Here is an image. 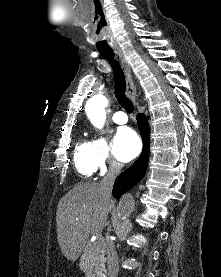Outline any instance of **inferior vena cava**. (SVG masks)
I'll return each mask as SVG.
<instances>
[{
  "label": "inferior vena cava",
  "mask_w": 221,
  "mask_h": 277,
  "mask_svg": "<svg viewBox=\"0 0 221 277\" xmlns=\"http://www.w3.org/2000/svg\"><path fill=\"white\" fill-rule=\"evenodd\" d=\"M122 168V164L118 162H111L109 165V169L107 174L100 182V187L103 191V194L107 197H111L112 188L114 185V181L119 175ZM106 258H107V270H108V277H117L118 275V256L115 250L114 243L112 240H107L106 245Z\"/></svg>",
  "instance_id": "inferior-vena-cava-1"
}]
</instances>
